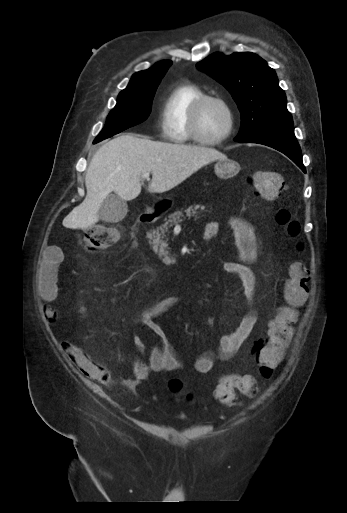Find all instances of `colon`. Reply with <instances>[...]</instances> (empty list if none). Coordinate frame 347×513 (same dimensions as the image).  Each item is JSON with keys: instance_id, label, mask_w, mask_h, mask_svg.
<instances>
[{"instance_id": "obj_1", "label": "colon", "mask_w": 347, "mask_h": 513, "mask_svg": "<svg viewBox=\"0 0 347 513\" xmlns=\"http://www.w3.org/2000/svg\"><path fill=\"white\" fill-rule=\"evenodd\" d=\"M250 183L257 193L266 200L277 199L284 190V181L277 172L258 171L251 178ZM276 221L284 225L289 236L298 238L302 232L300 220L286 210L276 213ZM119 240V232L108 226L93 225L87 228L83 234L85 247L91 252L107 249ZM299 251L303 250V244H297ZM310 281V271L302 262L293 263L284 282V299L286 304L278 307L270 319L268 337L260 340L257 348L256 373L260 379H273L279 369V363L285 358V345L292 337L293 325L297 320L296 306L307 297ZM170 390L178 393L182 384L178 379H172ZM259 389L258 381L250 375L227 374L220 378L214 396L224 405L231 406L236 402V391L254 396ZM191 400V396H187Z\"/></svg>"}]
</instances>
